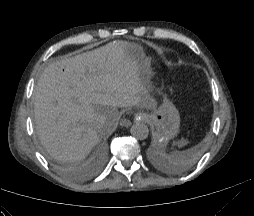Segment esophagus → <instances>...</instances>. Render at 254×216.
Wrapping results in <instances>:
<instances>
[{
  "label": "esophagus",
  "instance_id": "obj_1",
  "mask_svg": "<svg viewBox=\"0 0 254 216\" xmlns=\"http://www.w3.org/2000/svg\"><path fill=\"white\" fill-rule=\"evenodd\" d=\"M136 118H137L138 120L144 121V120L146 119V116H145V114H143V113H138L137 116H136ZM130 124H131L130 121L127 120L126 118H123V119L121 120V122H120V125H121V126H124V127H129Z\"/></svg>",
  "mask_w": 254,
  "mask_h": 216
}]
</instances>
